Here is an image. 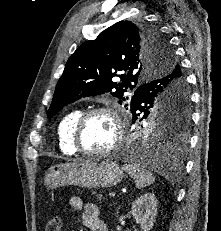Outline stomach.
<instances>
[{
	"label": "stomach",
	"mask_w": 221,
	"mask_h": 231,
	"mask_svg": "<svg viewBox=\"0 0 221 231\" xmlns=\"http://www.w3.org/2000/svg\"><path fill=\"white\" fill-rule=\"evenodd\" d=\"M123 171L113 161H84L64 163L50 167L44 176V185L54 189L65 185L83 188H109L123 179Z\"/></svg>",
	"instance_id": "stomach-1"
}]
</instances>
